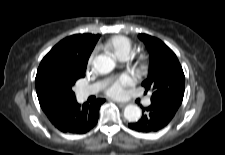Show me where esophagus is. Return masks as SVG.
<instances>
[{"mask_svg": "<svg viewBox=\"0 0 225 155\" xmlns=\"http://www.w3.org/2000/svg\"><path fill=\"white\" fill-rule=\"evenodd\" d=\"M116 103L120 106V107H125L127 105V103L125 102H120V101H116Z\"/></svg>", "mask_w": 225, "mask_h": 155, "instance_id": "esophagus-1", "label": "esophagus"}]
</instances>
